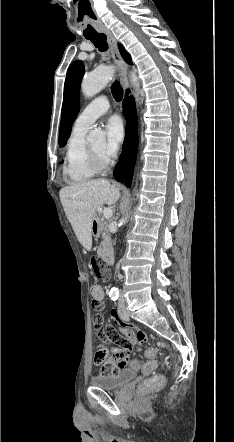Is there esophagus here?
<instances>
[{
  "instance_id": "34e87169",
  "label": "esophagus",
  "mask_w": 234,
  "mask_h": 442,
  "mask_svg": "<svg viewBox=\"0 0 234 442\" xmlns=\"http://www.w3.org/2000/svg\"><path fill=\"white\" fill-rule=\"evenodd\" d=\"M103 31L107 36V41L110 47L111 56L114 62L119 67V76H120L121 85L123 89L126 90L128 88L127 66L120 55L117 46V41L113 33L109 29H104Z\"/></svg>"
}]
</instances>
